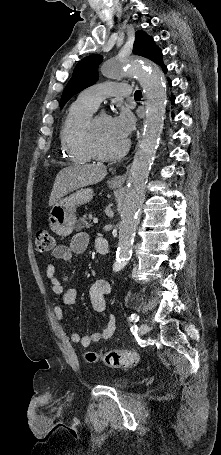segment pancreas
I'll return each instance as SVG.
<instances>
[{
  "label": "pancreas",
  "instance_id": "cf45deb5",
  "mask_svg": "<svg viewBox=\"0 0 221 455\" xmlns=\"http://www.w3.org/2000/svg\"><path fill=\"white\" fill-rule=\"evenodd\" d=\"M92 218V214H85L82 218H80L76 225H75V228L77 230H81L82 228L86 227V228H89L91 226V223H90V219Z\"/></svg>",
  "mask_w": 221,
  "mask_h": 455
}]
</instances>
